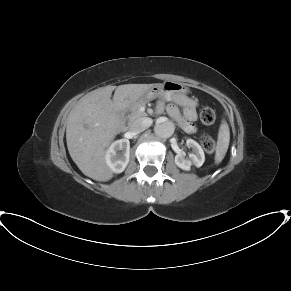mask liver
<instances>
[{"mask_svg": "<svg viewBox=\"0 0 291 291\" xmlns=\"http://www.w3.org/2000/svg\"><path fill=\"white\" fill-rule=\"evenodd\" d=\"M152 86L126 84L101 87L82 97L70 111L66 128L67 148L84 175L102 182L113 177L105 155L121 129L122 121L117 112L144 98Z\"/></svg>", "mask_w": 291, "mask_h": 291, "instance_id": "6515ba94", "label": "liver"}]
</instances>
